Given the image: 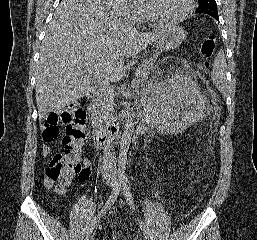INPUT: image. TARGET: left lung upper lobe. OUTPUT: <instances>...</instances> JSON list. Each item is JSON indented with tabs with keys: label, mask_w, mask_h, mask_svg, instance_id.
I'll return each mask as SVG.
<instances>
[{
	"label": "left lung upper lobe",
	"mask_w": 257,
	"mask_h": 240,
	"mask_svg": "<svg viewBox=\"0 0 257 240\" xmlns=\"http://www.w3.org/2000/svg\"><path fill=\"white\" fill-rule=\"evenodd\" d=\"M196 13H203L212 16L218 20L217 4L215 0H199V7Z\"/></svg>",
	"instance_id": "1"
}]
</instances>
